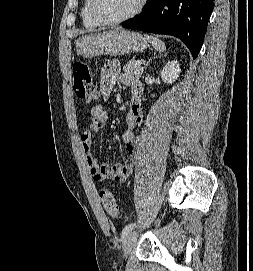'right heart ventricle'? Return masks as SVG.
<instances>
[{
	"mask_svg": "<svg viewBox=\"0 0 253 271\" xmlns=\"http://www.w3.org/2000/svg\"><path fill=\"white\" fill-rule=\"evenodd\" d=\"M81 18L83 26L87 29H95L100 26V24L95 21L91 13V0H83L81 7Z\"/></svg>",
	"mask_w": 253,
	"mask_h": 271,
	"instance_id": "right-heart-ventricle-1",
	"label": "right heart ventricle"
}]
</instances>
